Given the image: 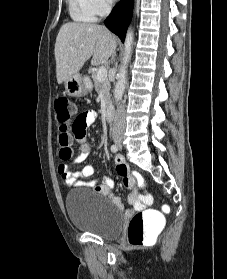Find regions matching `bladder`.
I'll list each match as a JSON object with an SVG mask.
<instances>
[{
    "instance_id": "bladder-1",
    "label": "bladder",
    "mask_w": 227,
    "mask_h": 279,
    "mask_svg": "<svg viewBox=\"0 0 227 279\" xmlns=\"http://www.w3.org/2000/svg\"><path fill=\"white\" fill-rule=\"evenodd\" d=\"M65 209L78 229L107 240L118 238L122 233L123 218L116 206L107 196L92 192L88 187L81 192H69Z\"/></svg>"
}]
</instances>
